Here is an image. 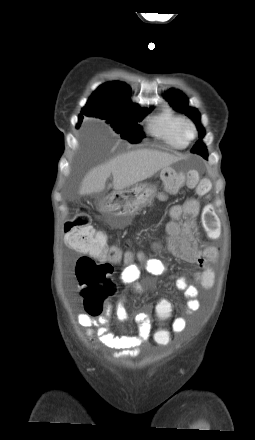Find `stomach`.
Instances as JSON below:
<instances>
[{
    "instance_id": "stomach-1",
    "label": "stomach",
    "mask_w": 255,
    "mask_h": 440,
    "mask_svg": "<svg viewBox=\"0 0 255 440\" xmlns=\"http://www.w3.org/2000/svg\"><path fill=\"white\" fill-rule=\"evenodd\" d=\"M169 168H164L163 171ZM156 187L148 184H137L121 191H115L98 203L100 211L110 215L120 224L130 223L132 218L152 203Z\"/></svg>"
}]
</instances>
